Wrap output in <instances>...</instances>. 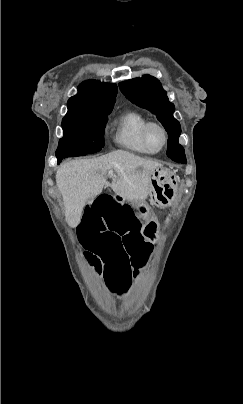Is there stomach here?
I'll return each instance as SVG.
<instances>
[{
	"mask_svg": "<svg viewBox=\"0 0 243 404\" xmlns=\"http://www.w3.org/2000/svg\"><path fill=\"white\" fill-rule=\"evenodd\" d=\"M176 184L177 178L167 168L160 166L153 169L150 173L149 189L151 202L158 207L168 205L174 196ZM134 206L145 220L142 236L151 243L155 242L159 224L151 208L143 202H135Z\"/></svg>",
	"mask_w": 243,
	"mask_h": 404,
	"instance_id": "stomach-1",
	"label": "stomach"
}]
</instances>
